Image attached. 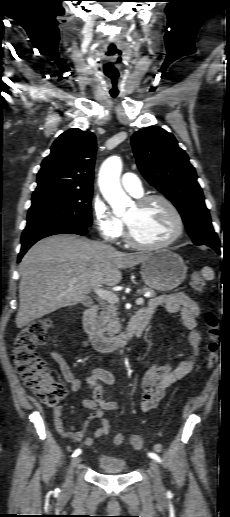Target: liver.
Instances as JSON below:
<instances>
[{"label": "liver", "instance_id": "liver-1", "mask_svg": "<svg viewBox=\"0 0 230 517\" xmlns=\"http://www.w3.org/2000/svg\"><path fill=\"white\" fill-rule=\"evenodd\" d=\"M148 253H124L75 235L44 238L21 260L17 328L65 306L85 300L92 290L115 286L120 269L143 263ZM76 278L75 284L69 280Z\"/></svg>", "mask_w": 230, "mask_h": 517}]
</instances>
